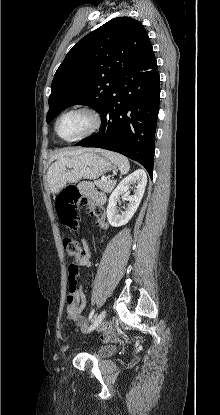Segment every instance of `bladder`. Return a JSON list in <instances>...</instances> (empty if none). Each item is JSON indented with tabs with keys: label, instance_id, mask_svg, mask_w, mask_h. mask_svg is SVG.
Returning <instances> with one entry per match:
<instances>
[{
	"label": "bladder",
	"instance_id": "obj_1",
	"mask_svg": "<svg viewBox=\"0 0 220 415\" xmlns=\"http://www.w3.org/2000/svg\"><path fill=\"white\" fill-rule=\"evenodd\" d=\"M115 351V346H107V347H104L102 350H101V352L103 353V354H111V353H113Z\"/></svg>",
	"mask_w": 220,
	"mask_h": 415
}]
</instances>
